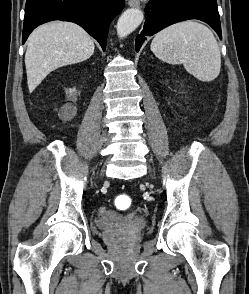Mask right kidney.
<instances>
[{
  "instance_id": "right-kidney-1",
  "label": "right kidney",
  "mask_w": 249,
  "mask_h": 294,
  "mask_svg": "<svg viewBox=\"0 0 249 294\" xmlns=\"http://www.w3.org/2000/svg\"><path fill=\"white\" fill-rule=\"evenodd\" d=\"M74 90L70 89L69 93H72ZM61 114L65 119H72L77 112V109L74 105L72 104H65L61 107Z\"/></svg>"
}]
</instances>
